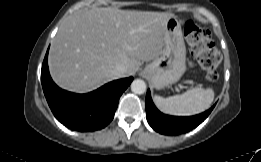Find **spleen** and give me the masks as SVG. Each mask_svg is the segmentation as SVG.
<instances>
[{
	"instance_id": "spleen-1",
	"label": "spleen",
	"mask_w": 261,
	"mask_h": 162,
	"mask_svg": "<svg viewBox=\"0 0 261 162\" xmlns=\"http://www.w3.org/2000/svg\"><path fill=\"white\" fill-rule=\"evenodd\" d=\"M214 100V91L211 88L195 87L181 95L168 98L154 96L157 108L166 114L176 116H190L208 109Z\"/></svg>"
}]
</instances>
